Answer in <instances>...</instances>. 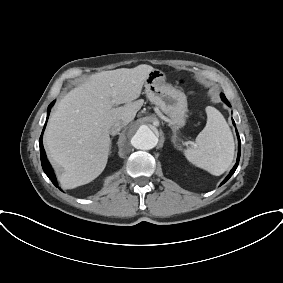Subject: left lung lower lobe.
Instances as JSON below:
<instances>
[{
	"label": "left lung lower lobe",
	"mask_w": 283,
	"mask_h": 283,
	"mask_svg": "<svg viewBox=\"0 0 283 283\" xmlns=\"http://www.w3.org/2000/svg\"><path fill=\"white\" fill-rule=\"evenodd\" d=\"M221 99L228 105V106H231L230 103L228 102V100L226 99L225 95L223 93H221ZM233 124L235 125V122L233 121ZM236 133H237V136H238V140H239V144H238V156H237V162L236 164L234 165V167L232 168V170L230 171L229 175L225 178V180L221 183L224 184L232 175L233 173L235 172V170L237 169L238 167V164H239V159H240V151H241V144H240V137H239V134H238V131L236 130Z\"/></svg>",
	"instance_id": "left-lung-lower-lobe-1"
}]
</instances>
